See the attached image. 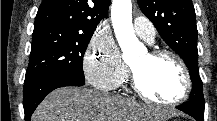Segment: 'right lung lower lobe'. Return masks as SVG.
<instances>
[{"mask_svg":"<svg viewBox=\"0 0 217 121\" xmlns=\"http://www.w3.org/2000/svg\"><path fill=\"white\" fill-rule=\"evenodd\" d=\"M84 84L85 80H79L62 72L45 73L25 81L23 90L25 121H30L36 107L54 89L63 86H83Z\"/></svg>","mask_w":217,"mask_h":121,"instance_id":"obj_1","label":"right lung lower lobe"}]
</instances>
